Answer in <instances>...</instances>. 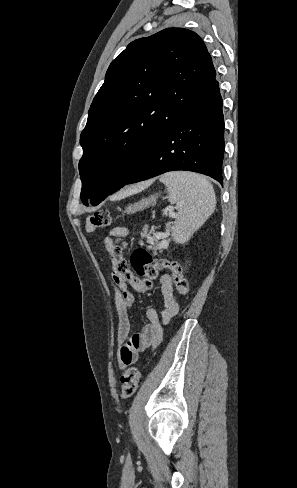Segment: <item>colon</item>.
<instances>
[{
  "label": "colon",
  "instance_id": "5ec220e1",
  "mask_svg": "<svg viewBox=\"0 0 297 488\" xmlns=\"http://www.w3.org/2000/svg\"><path fill=\"white\" fill-rule=\"evenodd\" d=\"M111 216L108 210H99L91 215L87 222L89 230L93 231L110 225ZM112 262V273L116 278L124 281H135L150 286L159 276L160 272L167 270L171 273L176 290L180 295L188 292V281L183 274L181 265L169 258L154 256L145 249H136L128 261L122 254L121 249L116 247L110 256ZM131 265L133 272L129 269ZM140 380V369L128 367L120 377L121 397L129 398L134 395Z\"/></svg>",
  "mask_w": 297,
  "mask_h": 488
}]
</instances>
